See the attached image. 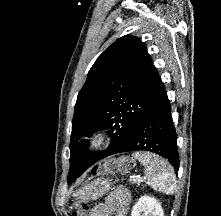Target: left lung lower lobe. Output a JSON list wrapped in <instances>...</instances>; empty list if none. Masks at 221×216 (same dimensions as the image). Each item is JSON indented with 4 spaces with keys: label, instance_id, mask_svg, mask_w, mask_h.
Here are the masks:
<instances>
[{
    "label": "left lung lower lobe",
    "instance_id": "1",
    "mask_svg": "<svg viewBox=\"0 0 221 216\" xmlns=\"http://www.w3.org/2000/svg\"><path fill=\"white\" fill-rule=\"evenodd\" d=\"M140 150L151 151L167 158L175 167V170L178 171L179 157L176 144V131L171 117L170 103L159 76L156 79L153 102L135 128L130 141L116 150L111 149L110 146L101 152H91L86 149L82 153L83 168L72 182L89 167L105 157L116 153Z\"/></svg>",
    "mask_w": 221,
    "mask_h": 216
}]
</instances>
